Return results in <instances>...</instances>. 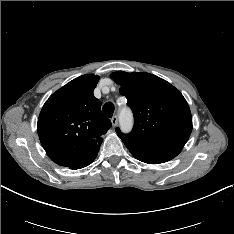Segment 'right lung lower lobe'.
<instances>
[{
  "instance_id": "right-lung-lower-lobe-1",
  "label": "right lung lower lobe",
  "mask_w": 234,
  "mask_h": 234,
  "mask_svg": "<svg viewBox=\"0 0 234 234\" xmlns=\"http://www.w3.org/2000/svg\"><path fill=\"white\" fill-rule=\"evenodd\" d=\"M95 159V158H94ZM93 159V160H94ZM93 160H91V161H89L87 164H85L83 167H85V166H87V165H89L90 163H92L93 162ZM83 167H81V168H83ZM79 169V168H78Z\"/></svg>"
}]
</instances>
